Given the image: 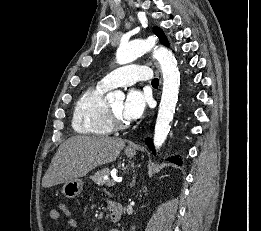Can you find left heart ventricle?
Segmentation results:
<instances>
[{"label": "left heart ventricle", "mask_w": 261, "mask_h": 231, "mask_svg": "<svg viewBox=\"0 0 261 231\" xmlns=\"http://www.w3.org/2000/svg\"><path fill=\"white\" fill-rule=\"evenodd\" d=\"M123 100H117L114 101L112 103H110L111 108L113 109V111L122 119L125 120L124 116H123Z\"/></svg>", "instance_id": "left-heart-ventricle-1"}]
</instances>
